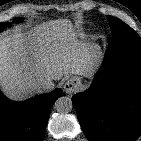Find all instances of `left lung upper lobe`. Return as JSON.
I'll return each mask as SVG.
<instances>
[{
	"label": "left lung upper lobe",
	"mask_w": 141,
	"mask_h": 141,
	"mask_svg": "<svg viewBox=\"0 0 141 141\" xmlns=\"http://www.w3.org/2000/svg\"><path fill=\"white\" fill-rule=\"evenodd\" d=\"M111 22V33L113 36L112 42H133L141 43V37L127 24L118 18L107 16Z\"/></svg>",
	"instance_id": "obj_1"
}]
</instances>
